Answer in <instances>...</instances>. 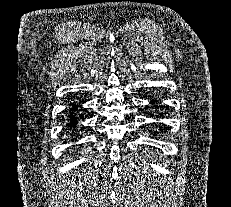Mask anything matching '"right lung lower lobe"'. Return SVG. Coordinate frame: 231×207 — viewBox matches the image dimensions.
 <instances>
[{
	"instance_id": "1",
	"label": "right lung lower lobe",
	"mask_w": 231,
	"mask_h": 207,
	"mask_svg": "<svg viewBox=\"0 0 231 207\" xmlns=\"http://www.w3.org/2000/svg\"><path fill=\"white\" fill-rule=\"evenodd\" d=\"M73 106V108L71 109V110H74V109H76V104H73L72 105ZM77 118L76 117H74V115H73V113L71 114V117H70V126L71 127H75V125L77 124Z\"/></svg>"
}]
</instances>
